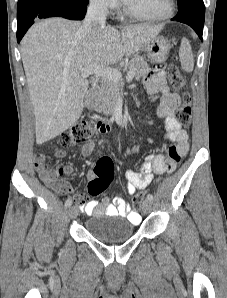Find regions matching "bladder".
<instances>
[{
  "instance_id": "bladder-1",
  "label": "bladder",
  "mask_w": 227,
  "mask_h": 298,
  "mask_svg": "<svg viewBox=\"0 0 227 298\" xmlns=\"http://www.w3.org/2000/svg\"><path fill=\"white\" fill-rule=\"evenodd\" d=\"M85 228L92 237L106 244L123 242L135 232V225L127 219L107 220L102 216L88 219Z\"/></svg>"
}]
</instances>
